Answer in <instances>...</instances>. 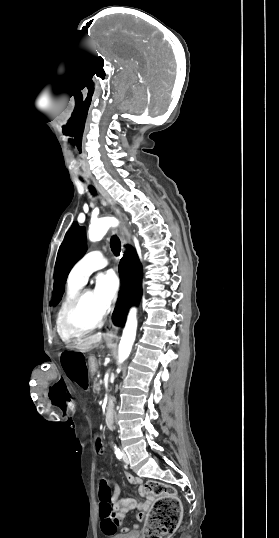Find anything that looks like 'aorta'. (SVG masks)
Listing matches in <instances>:
<instances>
[{
	"label": "aorta",
	"instance_id": "1",
	"mask_svg": "<svg viewBox=\"0 0 279 538\" xmlns=\"http://www.w3.org/2000/svg\"><path fill=\"white\" fill-rule=\"evenodd\" d=\"M117 225L118 221L114 217L98 219L96 222L92 223L89 228V240L92 242L101 240L110 227ZM136 312V308H131L127 316V321L119 344V363H122L128 358L134 344L137 330Z\"/></svg>",
	"mask_w": 279,
	"mask_h": 538
}]
</instances>
